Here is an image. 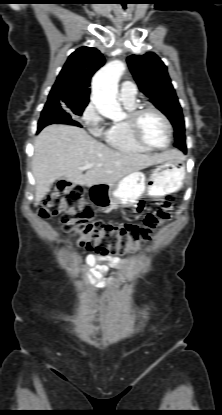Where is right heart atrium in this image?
Returning <instances> with one entry per match:
<instances>
[{
    "mask_svg": "<svg viewBox=\"0 0 222 415\" xmlns=\"http://www.w3.org/2000/svg\"><path fill=\"white\" fill-rule=\"evenodd\" d=\"M81 123L92 134L101 135L104 129V118L99 113L93 102H90L82 111L80 116Z\"/></svg>",
    "mask_w": 222,
    "mask_h": 415,
    "instance_id": "d8ad5b80",
    "label": "right heart atrium"
}]
</instances>
